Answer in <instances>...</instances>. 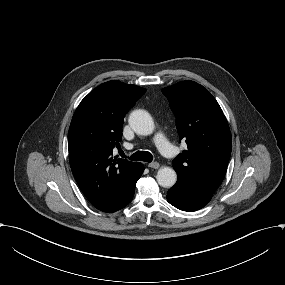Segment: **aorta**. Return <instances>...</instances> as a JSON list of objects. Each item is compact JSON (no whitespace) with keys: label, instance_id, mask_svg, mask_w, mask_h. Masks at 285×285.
<instances>
[{"label":"aorta","instance_id":"obj_1","mask_svg":"<svg viewBox=\"0 0 285 285\" xmlns=\"http://www.w3.org/2000/svg\"><path fill=\"white\" fill-rule=\"evenodd\" d=\"M129 124L137 134L144 136L152 134L155 128L151 115L140 109L131 112ZM156 179L160 186L169 188L176 183L177 174L171 167H162L158 170Z\"/></svg>","mask_w":285,"mask_h":285}]
</instances>
